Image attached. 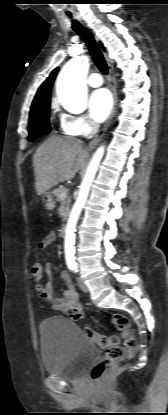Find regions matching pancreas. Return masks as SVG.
Returning <instances> with one entry per match:
<instances>
[{
    "mask_svg": "<svg viewBox=\"0 0 168 415\" xmlns=\"http://www.w3.org/2000/svg\"><path fill=\"white\" fill-rule=\"evenodd\" d=\"M62 192L67 193L68 190L63 186H60L59 188H57L53 191V194L56 198V201L60 202L62 205H64L66 207V213H68V208H69V204L71 202V199L69 197L61 198L60 195H61Z\"/></svg>",
    "mask_w": 168,
    "mask_h": 415,
    "instance_id": "obj_1",
    "label": "pancreas"
}]
</instances>
